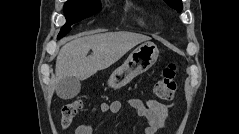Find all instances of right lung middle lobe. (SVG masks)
Instances as JSON below:
<instances>
[{
  "label": "right lung middle lobe",
  "mask_w": 239,
  "mask_h": 134,
  "mask_svg": "<svg viewBox=\"0 0 239 134\" xmlns=\"http://www.w3.org/2000/svg\"><path fill=\"white\" fill-rule=\"evenodd\" d=\"M101 10L99 0H68L64 4V13L67 19L66 24L62 27L58 39L65 36L70 30L71 25L81 21Z\"/></svg>",
  "instance_id": "right-lung-middle-lobe-1"
}]
</instances>
